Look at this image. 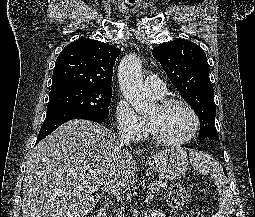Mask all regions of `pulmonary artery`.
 Here are the masks:
<instances>
[{
	"label": "pulmonary artery",
	"mask_w": 255,
	"mask_h": 217,
	"mask_svg": "<svg viewBox=\"0 0 255 217\" xmlns=\"http://www.w3.org/2000/svg\"><path fill=\"white\" fill-rule=\"evenodd\" d=\"M145 88L158 98H162L166 94L165 82L157 75H149L146 77Z\"/></svg>",
	"instance_id": "obj_1"
}]
</instances>
